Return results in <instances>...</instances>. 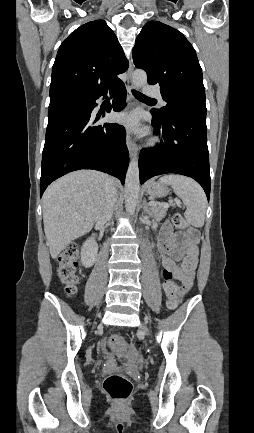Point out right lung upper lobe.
I'll return each instance as SVG.
<instances>
[{
    "label": "right lung upper lobe",
    "instance_id": "1",
    "mask_svg": "<svg viewBox=\"0 0 254 433\" xmlns=\"http://www.w3.org/2000/svg\"><path fill=\"white\" fill-rule=\"evenodd\" d=\"M128 61L104 20L88 22L60 45L52 68L50 98L62 94L95 95L122 81Z\"/></svg>",
    "mask_w": 254,
    "mask_h": 433
}]
</instances>
